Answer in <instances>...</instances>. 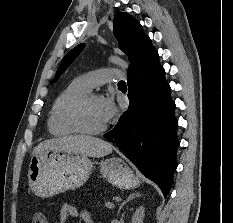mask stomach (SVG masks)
I'll return each instance as SVG.
<instances>
[{"instance_id": "0dacf381", "label": "stomach", "mask_w": 233, "mask_h": 223, "mask_svg": "<svg viewBox=\"0 0 233 223\" xmlns=\"http://www.w3.org/2000/svg\"><path fill=\"white\" fill-rule=\"evenodd\" d=\"M94 163H98L102 177L116 187L134 189L140 185L131 167L120 157L91 161L88 155L59 147H43L30 159L27 175L30 189L37 197H53L66 189H77L95 169Z\"/></svg>"}]
</instances>
